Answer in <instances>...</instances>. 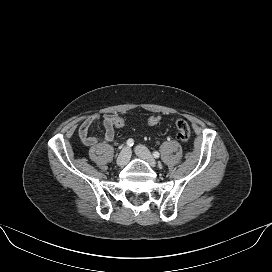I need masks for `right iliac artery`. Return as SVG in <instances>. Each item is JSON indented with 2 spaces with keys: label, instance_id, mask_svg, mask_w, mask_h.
Returning <instances> with one entry per match:
<instances>
[{
  "label": "right iliac artery",
  "instance_id": "82829eb1",
  "mask_svg": "<svg viewBox=\"0 0 272 272\" xmlns=\"http://www.w3.org/2000/svg\"><path fill=\"white\" fill-rule=\"evenodd\" d=\"M133 144H134V140L133 139L130 138V139L127 140V146L132 147Z\"/></svg>",
  "mask_w": 272,
  "mask_h": 272
}]
</instances>
